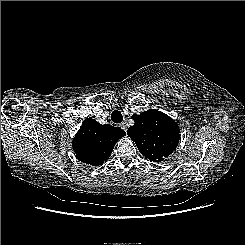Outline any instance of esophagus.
I'll list each match as a JSON object with an SVG mask.
<instances>
[{"mask_svg":"<svg viewBox=\"0 0 245 245\" xmlns=\"http://www.w3.org/2000/svg\"><path fill=\"white\" fill-rule=\"evenodd\" d=\"M124 131H127V127H126V124L125 123H121L119 125Z\"/></svg>","mask_w":245,"mask_h":245,"instance_id":"esophagus-1","label":"esophagus"}]
</instances>
